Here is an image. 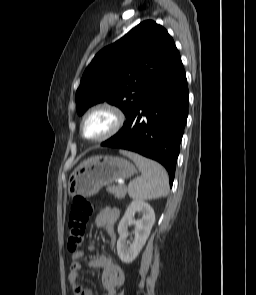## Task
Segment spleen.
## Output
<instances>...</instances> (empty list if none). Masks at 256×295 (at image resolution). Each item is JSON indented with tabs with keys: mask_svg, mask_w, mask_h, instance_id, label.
Listing matches in <instances>:
<instances>
[{
	"mask_svg": "<svg viewBox=\"0 0 256 295\" xmlns=\"http://www.w3.org/2000/svg\"><path fill=\"white\" fill-rule=\"evenodd\" d=\"M121 153L132 159L141 171V176L133 180L128 186V193L131 198L152 200L168 195V174L163 166L133 152L121 151Z\"/></svg>",
	"mask_w": 256,
	"mask_h": 295,
	"instance_id": "1",
	"label": "spleen"
}]
</instances>
